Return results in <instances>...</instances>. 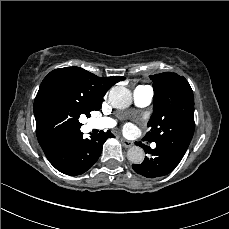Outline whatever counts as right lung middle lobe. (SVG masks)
Listing matches in <instances>:
<instances>
[{"mask_svg": "<svg viewBox=\"0 0 229 229\" xmlns=\"http://www.w3.org/2000/svg\"><path fill=\"white\" fill-rule=\"evenodd\" d=\"M81 94L64 85L47 87L34 101L36 124L49 138L60 140L80 130L79 117L99 110Z\"/></svg>", "mask_w": 229, "mask_h": 229, "instance_id": "dd1d6c3e", "label": "right lung middle lobe"}]
</instances>
